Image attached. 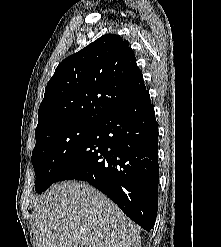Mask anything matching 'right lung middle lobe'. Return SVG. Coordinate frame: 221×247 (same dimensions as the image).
Returning <instances> with one entry per match:
<instances>
[{"instance_id":"dd1d6c3e","label":"right lung middle lobe","mask_w":221,"mask_h":247,"mask_svg":"<svg viewBox=\"0 0 221 247\" xmlns=\"http://www.w3.org/2000/svg\"><path fill=\"white\" fill-rule=\"evenodd\" d=\"M97 124L70 122L35 135L32 164L36 173L35 190L38 194L54 183L66 163L95 131Z\"/></svg>"}]
</instances>
